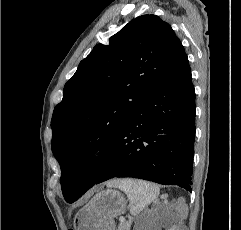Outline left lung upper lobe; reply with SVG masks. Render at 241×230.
Returning <instances> with one entry per match:
<instances>
[{
  "instance_id": "5c2ea615",
  "label": "left lung upper lobe",
  "mask_w": 241,
  "mask_h": 230,
  "mask_svg": "<svg viewBox=\"0 0 241 230\" xmlns=\"http://www.w3.org/2000/svg\"><path fill=\"white\" fill-rule=\"evenodd\" d=\"M109 41L97 44L80 62L52 116V152L69 203L79 197V160L98 144L113 141L144 97L185 54L171 26L156 15L137 17Z\"/></svg>"
}]
</instances>
